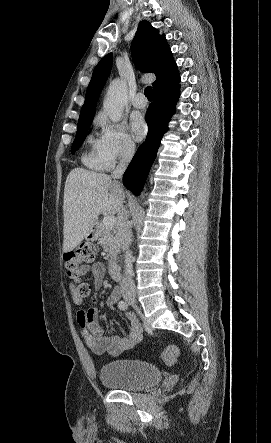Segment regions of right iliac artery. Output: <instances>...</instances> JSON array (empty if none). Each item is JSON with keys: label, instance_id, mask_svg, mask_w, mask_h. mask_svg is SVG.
Wrapping results in <instances>:
<instances>
[{"label": "right iliac artery", "instance_id": "82829eb1", "mask_svg": "<svg viewBox=\"0 0 271 443\" xmlns=\"http://www.w3.org/2000/svg\"><path fill=\"white\" fill-rule=\"evenodd\" d=\"M118 307L120 310H126L128 308V303L122 300L118 303Z\"/></svg>", "mask_w": 271, "mask_h": 443}]
</instances>
